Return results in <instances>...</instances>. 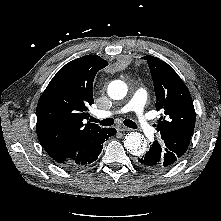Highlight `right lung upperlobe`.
I'll use <instances>...</instances> for the list:
<instances>
[{"label": "right lung upper lobe", "instance_id": "obj_1", "mask_svg": "<svg viewBox=\"0 0 221 221\" xmlns=\"http://www.w3.org/2000/svg\"><path fill=\"white\" fill-rule=\"evenodd\" d=\"M108 65L97 55H86L63 66L42 93L37 105L38 139L58 163L74 156L103 129L87 122L94 103L93 80Z\"/></svg>", "mask_w": 221, "mask_h": 221}]
</instances>
